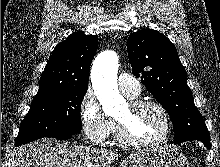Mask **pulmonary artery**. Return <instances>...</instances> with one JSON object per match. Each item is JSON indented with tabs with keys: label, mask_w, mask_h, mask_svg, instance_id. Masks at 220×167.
<instances>
[{
	"label": "pulmonary artery",
	"mask_w": 220,
	"mask_h": 167,
	"mask_svg": "<svg viewBox=\"0 0 220 167\" xmlns=\"http://www.w3.org/2000/svg\"><path fill=\"white\" fill-rule=\"evenodd\" d=\"M118 86L120 91L129 98H134L140 94V83L136 78L127 73L118 75Z\"/></svg>",
	"instance_id": "obj_1"
}]
</instances>
